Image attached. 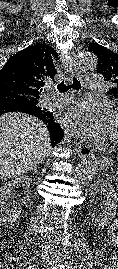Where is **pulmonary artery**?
I'll use <instances>...</instances> for the list:
<instances>
[{
	"mask_svg": "<svg viewBox=\"0 0 118 269\" xmlns=\"http://www.w3.org/2000/svg\"><path fill=\"white\" fill-rule=\"evenodd\" d=\"M87 86L91 90H99L102 86V78L100 76H90L85 80ZM71 100V98L55 99L50 98L52 103H65Z\"/></svg>",
	"mask_w": 118,
	"mask_h": 269,
	"instance_id": "1",
	"label": "pulmonary artery"
}]
</instances>
